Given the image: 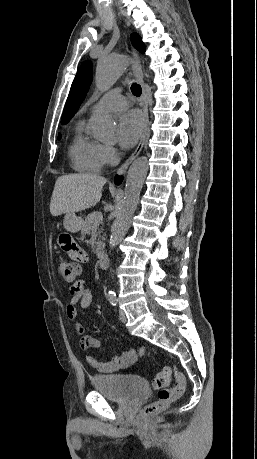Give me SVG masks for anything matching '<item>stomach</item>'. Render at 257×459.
<instances>
[{
	"label": "stomach",
	"mask_w": 257,
	"mask_h": 459,
	"mask_svg": "<svg viewBox=\"0 0 257 459\" xmlns=\"http://www.w3.org/2000/svg\"><path fill=\"white\" fill-rule=\"evenodd\" d=\"M83 220L75 212L67 213L64 217V227L67 231L76 233L82 229Z\"/></svg>",
	"instance_id": "obj_1"
}]
</instances>
